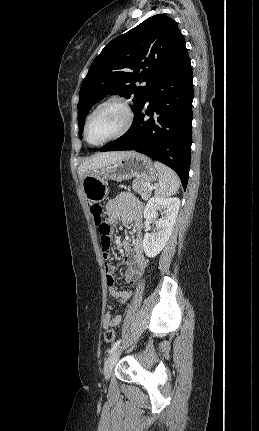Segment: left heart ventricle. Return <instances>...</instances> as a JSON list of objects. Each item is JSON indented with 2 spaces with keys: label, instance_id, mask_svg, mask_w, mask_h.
I'll use <instances>...</instances> for the list:
<instances>
[{
  "label": "left heart ventricle",
  "instance_id": "obj_1",
  "mask_svg": "<svg viewBox=\"0 0 259 431\" xmlns=\"http://www.w3.org/2000/svg\"><path fill=\"white\" fill-rule=\"evenodd\" d=\"M125 122L121 106L112 103L101 108L91 119L88 126V139L99 143L116 134Z\"/></svg>",
  "mask_w": 259,
  "mask_h": 431
}]
</instances>
